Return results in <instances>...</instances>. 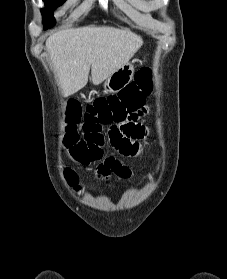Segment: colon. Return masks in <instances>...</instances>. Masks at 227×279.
Segmentation results:
<instances>
[{"label": "colon", "mask_w": 227, "mask_h": 279, "mask_svg": "<svg viewBox=\"0 0 227 279\" xmlns=\"http://www.w3.org/2000/svg\"><path fill=\"white\" fill-rule=\"evenodd\" d=\"M151 76V69L139 70L136 83L124 88L119 96L98 98L92 104H88L84 111L78 102L73 101L68 105L64 142L67 151L76 162L89 165L101 158L102 147L106 143L103 126L109 127V135L113 139L116 138L119 128L132 137L134 143L128 154L132 157L137 156L140 149L137 139L144 131L135 123L146 112L141 96L151 93ZM81 122L82 137L77 131ZM68 174L71 183H74L75 175L71 172Z\"/></svg>", "instance_id": "5ec220e1"}]
</instances>
